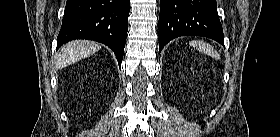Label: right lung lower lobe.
<instances>
[{
    "label": "right lung lower lobe",
    "instance_id": "1",
    "mask_svg": "<svg viewBox=\"0 0 280 137\" xmlns=\"http://www.w3.org/2000/svg\"><path fill=\"white\" fill-rule=\"evenodd\" d=\"M130 0H67L57 48L74 39H89L111 48L121 66Z\"/></svg>",
    "mask_w": 280,
    "mask_h": 137
}]
</instances>
